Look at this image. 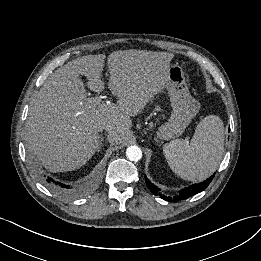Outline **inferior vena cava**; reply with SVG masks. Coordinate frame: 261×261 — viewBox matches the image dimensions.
Segmentation results:
<instances>
[{"label":"inferior vena cava","mask_w":261,"mask_h":261,"mask_svg":"<svg viewBox=\"0 0 261 261\" xmlns=\"http://www.w3.org/2000/svg\"><path fill=\"white\" fill-rule=\"evenodd\" d=\"M103 129H105V127H101V128H100V130H103Z\"/></svg>","instance_id":"inferior-vena-cava-1"}]
</instances>
